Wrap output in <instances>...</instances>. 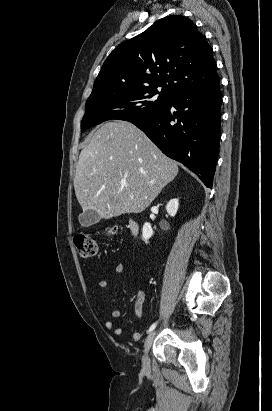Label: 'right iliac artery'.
Listing matches in <instances>:
<instances>
[{"label":"right iliac artery","instance_id":"82829eb1","mask_svg":"<svg viewBox=\"0 0 272 411\" xmlns=\"http://www.w3.org/2000/svg\"><path fill=\"white\" fill-rule=\"evenodd\" d=\"M156 325H157V322H156V323H153V324L150 326V328H149V330H148V333L152 332V331L155 329Z\"/></svg>","mask_w":272,"mask_h":411}]
</instances>
